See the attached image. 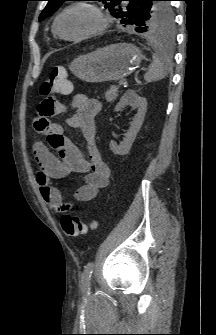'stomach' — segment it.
I'll return each mask as SVG.
<instances>
[{
  "label": "stomach",
  "instance_id": "1",
  "mask_svg": "<svg viewBox=\"0 0 216 335\" xmlns=\"http://www.w3.org/2000/svg\"><path fill=\"white\" fill-rule=\"evenodd\" d=\"M144 59L131 43H115L81 55L69 65L71 72L88 83L115 81L131 74Z\"/></svg>",
  "mask_w": 216,
  "mask_h": 335
}]
</instances>
